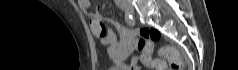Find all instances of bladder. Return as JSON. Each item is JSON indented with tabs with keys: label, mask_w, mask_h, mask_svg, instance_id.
Instances as JSON below:
<instances>
[{
	"label": "bladder",
	"mask_w": 238,
	"mask_h": 70,
	"mask_svg": "<svg viewBox=\"0 0 238 70\" xmlns=\"http://www.w3.org/2000/svg\"><path fill=\"white\" fill-rule=\"evenodd\" d=\"M109 70H118V69H116L115 67H111Z\"/></svg>",
	"instance_id": "31cf9c89"
}]
</instances>
